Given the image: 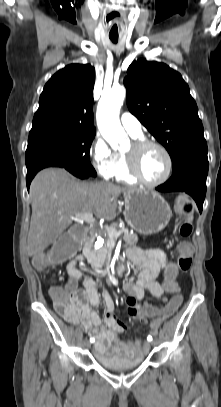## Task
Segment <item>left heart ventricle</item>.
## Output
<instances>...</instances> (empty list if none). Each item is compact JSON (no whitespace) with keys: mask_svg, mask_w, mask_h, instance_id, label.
Wrapping results in <instances>:
<instances>
[{"mask_svg":"<svg viewBox=\"0 0 221 407\" xmlns=\"http://www.w3.org/2000/svg\"><path fill=\"white\" fill-rule=\"evenodd\" d=\"M132 150V145L127 152ZM139 167L145 178L151 181L160 180L167 171V159L157 148H150L144 151L139 158Z\"/></svg>","mask_w":221,"mask_h":407,"instance_id":"obj_1","label":"left heart ventricle"}]
</instances>
